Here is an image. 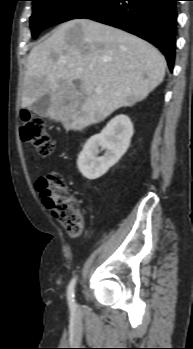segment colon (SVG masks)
I'll list each match as a JSON object with an SVG mask.
<instances>
[{"label":"colon","instance_id":"colon-1","mask_svg":"<svg viewBox=\"0 0 193 349\" xmlns=\"http://www.w3.org/2000/svg\"><path fill=\"white\" fill-rule=\"evenodd\" d=\"M20 135L23 141L35 146L41 156L54 151L52 138L43 121L27 111L21 113ZM45 206L71 235H79L83 229V217L78 201L69 194L62 175L49 172L37 182Z\"/></svg>","mask_w":193,"mask_h":349}]
</instances>
